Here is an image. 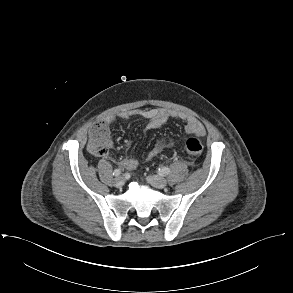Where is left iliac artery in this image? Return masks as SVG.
I'll return each instance as SVG.
<instances>
[{
    "mask_svg": "<svg viewBox=\"0 0 293 293\" xmlns=\"http://www.w3.org/2000/svg\"><path fill=\"white\" fill-rule=\"evenodd\" d=\"M159 172L164 175H168L170 173V169L168 167H163L159 169Z\"/></svg>",
    "mask_w": 293,
    "mask_h": 293,
    "instance_id": "1",
    "label": "left iliac artery"
}]
</instances>
